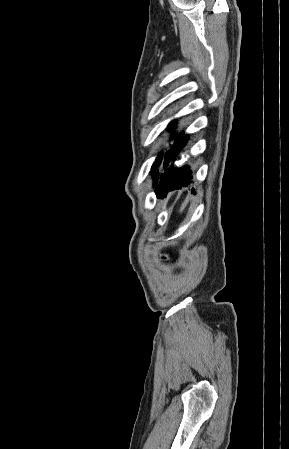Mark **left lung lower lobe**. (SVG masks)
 I'll return each instance as SVG.
<instances>
[{
  "mask_svg": "<svg viewBox=\"0 0 289 449\" xmlns=\"http://www.w3.org/2000/svg\"><path fill=\"white\" fill-rule=\"evenodd\" d=\"M188 136L183 132L179 133L174 140V144L171 149L166 152L164 162H163V173H159L154 178V184L159 179V184L155 189V193L158 197H163L169 190L180 189L183 186H188L192 183V172L189 166L175 167L173 162L177 160V155L180 149H182L186 142ZM194 192V189L191 190Z\"/></svg>",
  "mask_w": 289,
  "mask_h": 449,
  "instance_id": "1",
  "label": "left lung lower lobe"
}]
</instances>
